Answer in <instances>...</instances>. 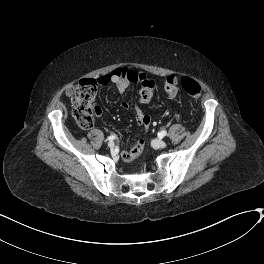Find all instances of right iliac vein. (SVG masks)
Listing matches in <instances>:
<instances>
[{"label":"right iliac vein","instance_id":"63e3f726","mask_svg":"<svg viewBox=\"0 0 264 264\" xmlns=\"http://www.w3.org/2000/svg\"><path fill=\"white\" fill-rule=\"evenodd\" d=\"M108 147L112 149V148L114 147V142H112V141L109 142V143H108Z\"/></svg>","mask_w":264,"mask_h":264}]
</instances>
